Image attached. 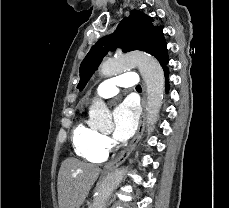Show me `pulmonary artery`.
Returning <instances> with one entry per match:
<instances>
[{
    "label": "pulmonary artery",
    "instance_id": "1",
    "mask_svg": "<svg viewBox=\"0 0 229 208\" xmlns=\"http://www.w3.org/2000/svg\"><path fill=\"white\" fill-rule=\"evenodd\" d=\"M136 76L127 72L117 73V76L111 75L105 79L95 91L99 98H110L119 93L121 87H132L136 83Z\"/></svg>",
    "mask_w": 229,
    "mask_h": 208
}]
</instances>
